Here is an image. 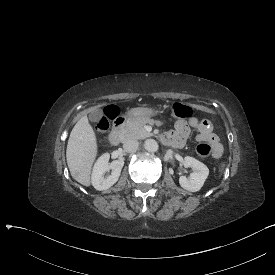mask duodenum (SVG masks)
<instances>
[{
	"label": "duodenum",
	"mask_w": 275,
	"mask_h": 275,
	"mask_svg": "<svg viewBox=\"0 0 275 275\" xmlns=\"http://www.w3.org/2000/svg\"><path fill=\"white\" fill-rule=\"evenodd\" d=\"M126 122V117L122 116L116 119L113 129L109 135V141L112 145L116 146L120 143L122 138V128Z\"/></svg>",
	"instance_id": "410a0bca"
}]
</instances>
